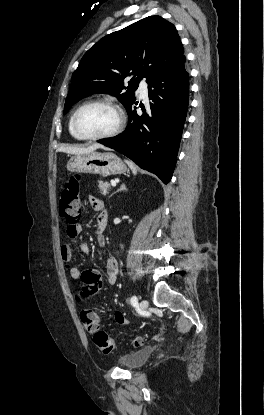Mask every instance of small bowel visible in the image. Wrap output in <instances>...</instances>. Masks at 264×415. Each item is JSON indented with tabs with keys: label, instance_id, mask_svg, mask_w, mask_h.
Segmentation results:
<instances>
[{
	"label": "small bowel",
	"instance_id": "1",
	"mask_svg": "<svg viewBox=\"0 0 264 415\" xmlns=\"http://www.w3.org/2000/svg\"><path fill=\"white\" fill-rule=\"evenodd\" d=\"M90 204L95 212L98 213L96 227L98 231V239L101 245L104 244V238L102 232L104 231L108 222V212L104 209L103 202L97 198L90 197ZM80 251L83 254L90 253V247L87 243L80 244ZM61 259L63 263L68 267L69 277L73 280H78L81 277V269L78 266L72 265L73 251L72 246L69 243L63 244L60 247ZM105 271L108 284L114 285L118 276V264L114 257L107 256L105 259ZM115 321L119 324L126 323V319L121 312H116Z\"/></svg>",
	"mask_w": 264,
	"mask_h": 415
}]
</instances>
